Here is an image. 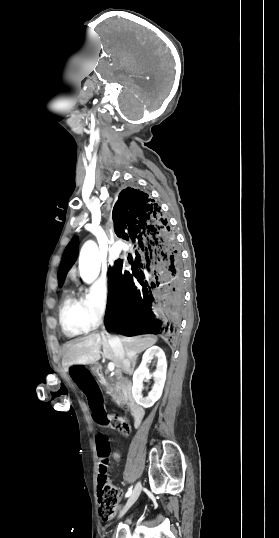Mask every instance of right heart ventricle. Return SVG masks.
I'll return each mask as SVG.
<instances>
[{
  "mask_svg": "<svg viewBox=\"0 0 279 538\" xmlns=\"http://www.w3.org/2000/svg\"><path fill=\"white\" fill-rule=\"evenodd\" d=\"M53 224L59 228L61 226V217L57 211L52 219ZM49 221V225H50ZM88 231L93 230L92 226L85 228ZM69 232L66 227L64 231H61L60 235L65 237ZM59 320L63 332L67 336H76L87 332L89 329L88 322L85 317V300L84 297H77L72 291H68L64 296L59 309Z\"/></svg>",
  "mask_w": 279,
  "mask_h": 538,
  "instance_id": "e07e8e85",
  "label": "right heart ventricle"
}]
</instances>
